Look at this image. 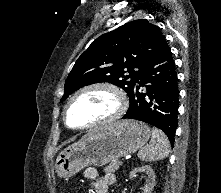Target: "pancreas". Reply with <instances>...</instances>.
<instances>
[{
    "label": "pancreas",
    "mask_w": 221,
    "mask_h": 193,
    "mask_svg": "<svg viewBox=\"0 0 221 193\" xmlns=\"http://www.w3.org/2000/svg\"><path fill=\"white\" fill-rule=\"evenodd\" d=\"M119 166H120L119 161H116V160L112 161L108 166H106L104 168V172L105 173H114L116 170L119 169Z\"/></svg>",
    "instance_id": "pancreas-1"
}]
</instances>
